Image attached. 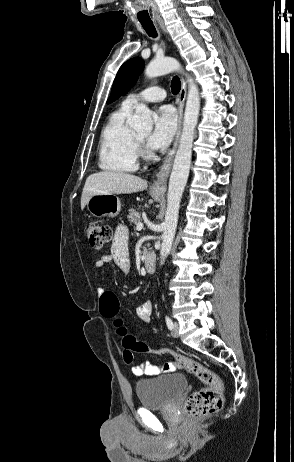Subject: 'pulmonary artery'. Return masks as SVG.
<instances>
[{"label":"pulmonary artery","mask_w":294,"mask_h":462,"mask_svg":"<svg viewBox=\"0 0 294 462\" xmlns=\"http://www.w3.org/2000/svg\"><path fill=\"white\" fill-rule=\"evenodd\" d=\"M167 95L166 90L161 86H150L142 91L130 94L123 101V105L133 107L139 102H157L163 100Z\"/></svg>","instance_id":"pulmonary-artery-1"}]
</instances>
